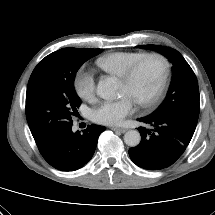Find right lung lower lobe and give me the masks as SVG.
<instances>
[{"label":"right lung lower lobe","mask_w":215,"mask_h":215,"mask_svg":"<svg viewBox=\"0 0 215 215\" xmlns=\"http://www.w3.org/2000/svg\"><path fill=\"white\" fill-rule=\"evenodd\" d=\"M106 128L89 125L82 133L72 132V124L37 144L44 159L61 171L82 168L93 156L98 137Z\"/></svg>","instance_id":"obj_1"}]
</instances>
